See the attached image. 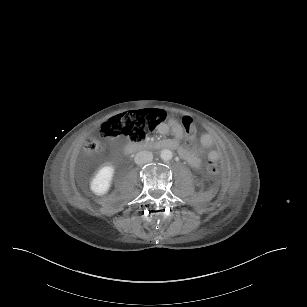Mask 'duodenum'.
<instances>
[{
    "label": "duodenum",
    "mask_w": 307,
    "mask_h": 307,
    "mask_svg": "<svg viewBox=\"0 0 307 307\" xmlns=\"http://www.w3.org/2000/svg\"><path fill=\"white\" fill-rule=\"evenodd\" d=\"M149 148H161V149H174V143L170 140L150 141L142 143H131L127 145L126 149L131 151H140Z\"/></svg>",
    "instance_id": "1"
}]
</instances>
